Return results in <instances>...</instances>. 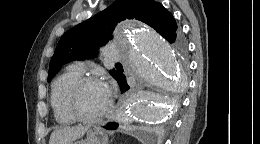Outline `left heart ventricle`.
Returning a JSON list of instances; mask_svg holds the SVG:
<instances>
[{"instance_id": "b2bd125f", "label": "left heart ventricle", "mask_w": 260, "mask_h": 144, "mask_svg": "<svg viewBox=\"0 0 260 144\" xmlns=\"http://www.w3.org/2000/svg\"><path fill=\"white\" fill-rule=\"evenodd\" d=\"M108 97L101 83L85 85L79 95L77 106L86 116H94L106 106Z\"/></svg>"}]
</instances>
